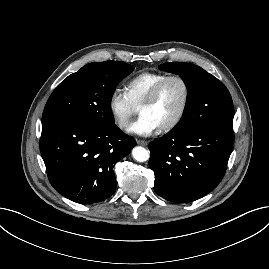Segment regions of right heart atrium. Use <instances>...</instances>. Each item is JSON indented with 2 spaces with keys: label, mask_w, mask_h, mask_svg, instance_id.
<instances>
[{
  "label": "right heart atrium",
  "mask_w": 269,
  "mask_h": 269,
  "mask_svg": "<svg viewBox=\"0 0 269 269\" xmlns=\"http://www.w3.org/2000/svg\"><path fill=\"white\" fill-rule=\"evenodd\" d=\"M108 109L116 126L122 130L128 128L131 118L136 113L125 92L115 89L109 96Z\"/></svg>",
  "instance_id": "obj_1"
}]
</instances>
